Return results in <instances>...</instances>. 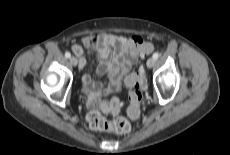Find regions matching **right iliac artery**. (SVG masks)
Instances as JSON below:
<instances>
[{"label":"right iliac artery","mask_w":230,"mask_h":155,"mask_svg":"<svg viewBox=\"0 0 230 155\" xmlns=\"http://www.w3.org/2000/svg\"><path fill=\"white\" fill-rule=\"evenodd\" d=\"M65 57H66V58H70V57H71V54H70L69 52H66V53H65Z\"/></svg>","instance_id":"obj_1"}]
</instances>
